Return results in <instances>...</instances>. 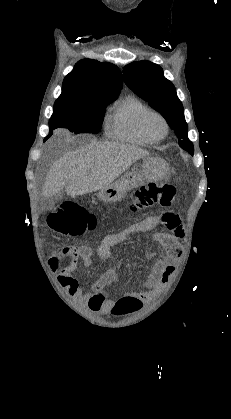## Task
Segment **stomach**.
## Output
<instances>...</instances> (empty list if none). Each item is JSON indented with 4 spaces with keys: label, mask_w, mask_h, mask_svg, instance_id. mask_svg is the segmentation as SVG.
I'll use <instances>...</instances> for the list:
<instances>
[{
    "label": "stomach",
    "mask_w": 231,
    "mask_h": 419,
    "mask_svg": "<svg viewBox=\"0 0 231 419\" xmlns=\"http://www.w3.org/2000/svg\"><path fill=\"white\" fill-rule=\"evenodd\" d=\"M168 164L159 157L147 156L143 159L139 169H134L122 175L109 186L93 194V199L106 203L121 200L127 192L148 181H160L167 176Z\"/></svg>",
    "instance_id": "1"
}]
</instances>
